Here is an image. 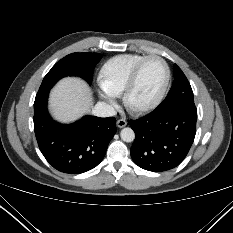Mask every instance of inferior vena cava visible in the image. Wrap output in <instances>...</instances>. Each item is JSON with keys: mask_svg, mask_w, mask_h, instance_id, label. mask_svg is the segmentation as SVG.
Wrapping results in <instances>:
<instances>
[{"mask_svg": "<svg viewBox=\"0 0 233 233\" xmlns=\"http://www.w3.org/2000/svg\"><path fill=\"white\" fill-rule=\"evenodd\" d=\"M116 113L114 107L105 102H98L92 110V114L97 117H111Z\"/></svg>", "mask_w": 233, "mask_h": 233, "instance_id": "602c4592", "label": "inferior vena cava"}]
</instances>
